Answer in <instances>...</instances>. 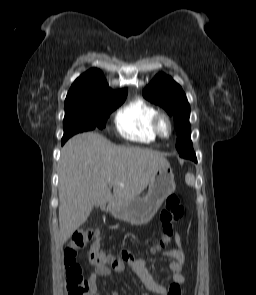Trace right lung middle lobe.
I'll list each match as a JSON object with an SVG mask.
<instances>
[{"label": "right lung middle lobe", "instance_id": "dd1d6c3e", "mask_svg": "<svg viewBox=\"0 0 256 295\" xmlns=\"http://www.w3.org/2000/svg\"><path fill=\"white\" fill-rule=\"evenodd\" d=\"M126 96L127 94L115 98L90 100L65 107L62 140L66 141L76 133L96 127L103 129L109 114L125 101Z\"/></svg>", "mask_w": 256, "mask_h": 295}]
</instances>
